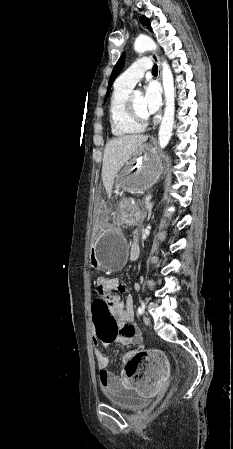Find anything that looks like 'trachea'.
Here are the masks:
<instances>
[{"instance_id":"trachea-1","label":"trachea","mask_w":233,"mask_h":449,"mask_svg":"<svg viewBox=\"0 0 233 449\" xmlns=\"http://www.w3.org/2000/svg\"><path fill=\"white\" fill-rule=\"evenodd\" d=\"M152 73L157 74V65H154L152 68Z\"/></svg>"}]
</instances>
